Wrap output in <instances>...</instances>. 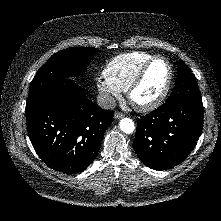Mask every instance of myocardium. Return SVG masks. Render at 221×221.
Listing matches in <instances>:
<instances>
[{"label": "myocardium", "mask_w": 221, "mask_h": 221, "mask_svg": "<svg viewBox=\"0 0 221 221\" xmlns=\"http://www.w3.org/2000/svg\"><path fill=\"white\" fill-rule=\"evenodd\" d=\"M156 60H163L168 67V77H167L165 86H164L162 92L154 100H152L148 103H139L134 99V93H135L136 89L140 86V84L142 83L147 70L149 69L151 64ZM172 81H173V68H172L170 61L162 55H154L141 66V68L138 70V72L136 73V75L132 79L131 83L129 84V86L126 90L127 98L129 100V102L133 105V107L135 109H137L138 111H140V112L153 111V110L157 109L164 102L166 97L168 96V93H169L171 85H172Z\"/></svg>", "instance_id": "f54148a6"}]
</instances>
